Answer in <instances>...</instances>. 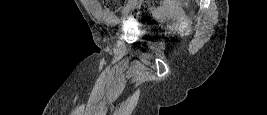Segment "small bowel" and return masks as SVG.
<instances>
[{"instance_id": "obj_1", "label": "small bowel", "mask_w": 267, "mask_h": 115, "mask_svg": "<svg viewBox=\"0 0 267 115\" xmlns=\"http://www.w3.org/2000/svg\"><path fill=\"white\" fill-rule=\"evenodd\" d=\"M87 4L90 7L91 11L100 19L104 20H111L112 15L104 10V8L101 6V4L96 0H87ZM177 9V6L175 3L171 1H166L161 7H159L156 12L158 13H164L167 11H175Z\"/></svg>"}]
</instances>
